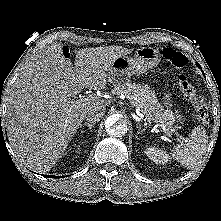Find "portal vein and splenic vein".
<instances>
[{"mask_svg":"<svg viewBox=\"0 0 221 221\" xmlns=\"http://www.w3.org/2000/svg\"><path fill=\"white\" fill-rule=\"evenodd\" d=\"M93 99H94V98L91 97V96H86V97L83 96V97L80 98V101H81V102H87V101H91V100H93ZM132 105L136 107V113L140 116V119H143V115L140 114V108L137 107L135 104H132ZM158 126H159V125H155L154 127L157 128ZM160 126H161V128H162V130H163L164 132H167L168 136L171 135V131H168L163 125H160Z\"/></svg>","mask_w":221,"mask_h":221,"instance_id":"1","label":"portal vein and splenic vein"}]
</instances>
